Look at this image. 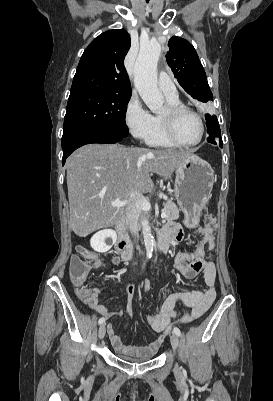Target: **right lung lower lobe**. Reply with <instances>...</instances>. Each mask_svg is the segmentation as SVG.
Instances as JSON below:
<instances>
[{"instance_id":"98d812e1","label":"right lung lower lobe","mask_w":273,"mask_h":401,"mask_svg":"<svg viewBox=\"0 0 273 401\" xmlns=\"http://www.w3.org/2000/svg\"><path fill=\"white\" fill-rule=\"evenodd\" d=\"M126 137L118 134L102 132L91 128H73L63 132L62 148L63 159L66 158L77 148L91 143H117L122 142Z\"/></svg>"}]
</instances>
